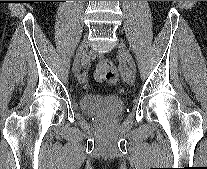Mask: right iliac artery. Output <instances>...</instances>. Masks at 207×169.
<instances>
[{"label": "right iliac artery", "mask_w": 207, "mask_h": 169, "mask_svg": "<svg viewBox=\"0 0 207 169\" xmlns=\"http://www.w3.org/2000/svg\"><path fill=\"white\" fill-rule=\"evenodd\" d=\"M82 65L84 68H88L89 60L87 57L83 58ZM85 79H86V74H85V72H83L82 74L79 75L78 80L84 82Z\"/></svg>", "instance_id": "1"}]
</instances>
